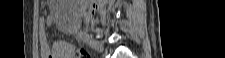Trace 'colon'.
<instances>
[{
  "instance_id": "5ec220e1",
  "label": "colon",
  "mask_w": 225,
  "mask_h": 58,
  "mask_svg": "<svg viewBox=\"0 0 225 58\" xmlns=\"http://www.w3.org/2000/svg\"><path fill=\"white\" fill-rule=\"evenodd\" d=\"M76 58H91V54L86 49H79L76 53Z\"/></svg>"
}]
</instances>
